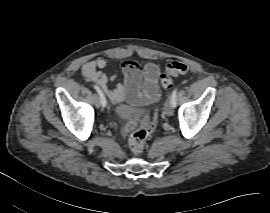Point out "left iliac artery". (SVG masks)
Segmentation results:
<instances>
[{"mask_svg": "<svg viewBox=\"0 0 270 213\" xmlns=\"http://www.w3.org/2000/svg\"><path fill=\"white\" fill-rule=\"evenodd\" d=\"M177 88H175L173 91H172V94L170 96V101H171V104L172 106L175 108L176 105H177Z\"/></svg>", "mask_w": 270, "mask_h": 213, "instance_id": "obj_1", "label": "left iliac artery"}]
</instances>
